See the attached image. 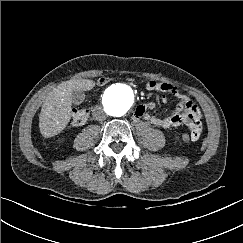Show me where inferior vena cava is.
<instances>
[{
  "label": "inferior vena cava",
  "instance_id": "obj_1",
  "mask_svg": "<svg viewBox=\"0 0 243 243\" xmlns=\"http://www.w3.org/2000/svg\"><path fill=\"white\" fill-rule=\"evenodd\" d=\"M93 117L98 121L106 119V114L101 107H96L92 112Z\"/></svg>",
  "mask_w": 243,
  "mask_h": 243
}]
</instances>
